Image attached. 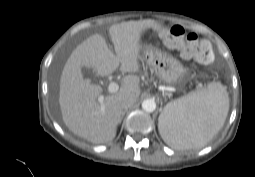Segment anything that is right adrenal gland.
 <instances>
[{
    "label": "right adrenal gland",
    "mask_w": 255,
    "mask_h": 177,
    "mask_svg": "<svg viewBox=\"0 0 255 177\" xmlns=\"http://www.w3.org/2000/svg\"><path fill=\"white\" fill-rule=\"evenodd\" d=\"M125 113H126V111L123 112V114H122V116H121V121H122V119H123Z\"/></svg>",
    "instance_id": "2a0ac1e0"
}]
</instances>
